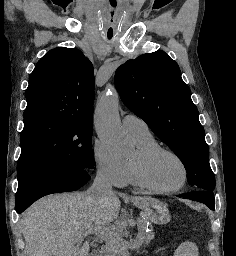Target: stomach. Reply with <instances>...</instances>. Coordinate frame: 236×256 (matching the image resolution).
Wrapping results in <instances>:
<instances>
[{"instance_id":"stomach-1","label":"stomach","mask_w":236,"mask_h":256,"mask_svg":"<svg viewBox=\"0 0 236 256\" xmlns=\"http://www.w3.org/2000/svg\"><path fill=\"white\" fill-rule=\"evenodd\" d=\"M133 203L156 224H166L170 221V214L167 206L157 199L141 197Z\"/></svg>"}]
</instances>
